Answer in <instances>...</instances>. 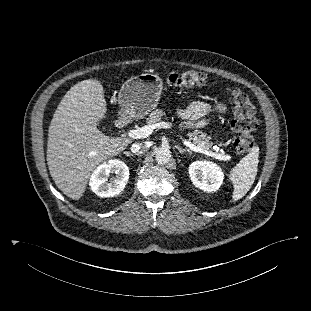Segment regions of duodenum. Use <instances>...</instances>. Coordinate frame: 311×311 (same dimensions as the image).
I'll use <instances>...</instances> for the list:
<instances>
[{"label": "duodenum", "mask_w": 311, "mask_h": 311, "mask_svg": "<svg viewBox=\"0 0 311 311\" xmlns=\"http://www.w3.org/2000/svg\"><path fill=\"white\" fill-rule=\"evenodd\" d=\"M125 123H126V121H125L124 118H120V119L117 121V124H118L119 126H122V125H124Z\"/></svg>", "instance_id": "410a0bca"}]
</instances>
